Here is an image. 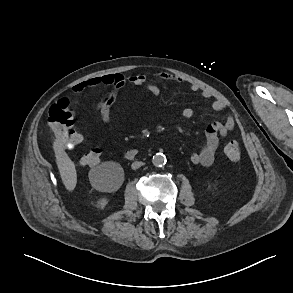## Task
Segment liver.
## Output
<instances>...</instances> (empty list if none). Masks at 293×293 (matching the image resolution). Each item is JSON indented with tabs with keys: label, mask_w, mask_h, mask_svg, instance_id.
Here are the masks:
<instances>
[{
	"label": "liver",
	"mask_w": 293,
	"mask_h": 293,
	"mask_svg": "<svg viewBox=\"0 0 293 293\" xmlns=\"http://www.w3.org/2000/svg\"><path fill=\"white\" fill-rule=\"evenodd\" d=\"M54 152L62 182L67 190L72 191L77 183L75 164L69 158L64 149L56 142L54 143Z\"/></svg>",
	"instance_id": "obj_1"
}]
</instances>
